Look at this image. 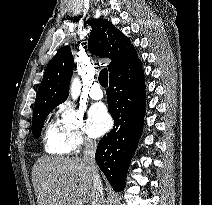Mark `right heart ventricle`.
<instances>
[{
  "mask_svg": "<svg viewBox=\"0 0 212 205\" xmlns=\"http://www.w3.org/2000/svg\"><path fill=\"white\" fill-rule=\"evenodd\" d=\"M44 147L52 155H66L72 150L66 141L59 121H51L44 132Z\"/></svg>",
  "mask_w": 212,
  "mask_h": 205,
  "instance_id": "e07e8e85",
  "label": "right heart ventricle"
}]
</instances>
